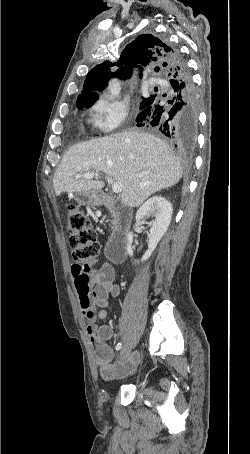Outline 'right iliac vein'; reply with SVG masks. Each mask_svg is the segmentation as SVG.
Here are the masks:
<instances>
[{
    "instance_id": "right-iliac-vein-1",
    "label": "right iliac vein",
    "mask_w": 250,
    "mask_h": 454,
    "mask_svg": "<svg viewBox=\"0 0 250 454\" xmlns=\"http://www.w3.org/2000/svg\"><path fill=\"white\" fill-rule=\"evenodd\" d=\"M130 354V347L129 345H124L121 352H120V358L125 359L129 356Z\"/></svg>"
}]
</instances>
